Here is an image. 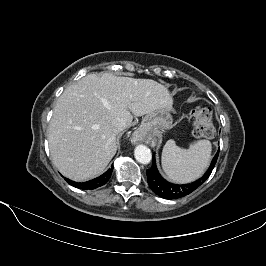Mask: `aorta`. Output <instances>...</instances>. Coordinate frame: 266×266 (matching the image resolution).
Here are the masks:
<instances>
[{
  "label": "aorta",
  "instance_id": "aorta-1",
  "mask_svg": "<svg viewBox=\"0 0 266 266\" xmlns=\"http://www.w3.org/2000/svg\"><path fill=\"white\" fill-rule=\"evenodd\" d=\"M134 156L141 164H148L152 159L151 151L145 145H138L135 148Z\"/></svg>",
  "mask_w": 266,
  "mask_h": 266
}]
</instances>
